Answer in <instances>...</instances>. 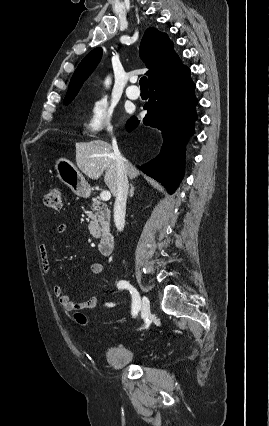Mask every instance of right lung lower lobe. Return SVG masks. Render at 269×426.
<instances>
[{
    "label": "right lung lower lobe",
    "instance_id": "98d812e1",
    "mask_svg": "<svg viewBox=\"0 0 269 426\" xmlns=\"http://www.w3.org/2000/svg\"><path fill=\"white\" fill-rule=\"evenodd\" d=\"M149 88V101L144 105L148 112L143 123L162 132L163 144L159 155L139 169L173 193L184 174L185 142L193 135L197 120L195 84L190 78V69L183 65ZM139 122L132 117L126 124L127 130H133Z\"/></svg>",
    "mask_w": 269,
    "mask_h": 426
}]
</instances>
